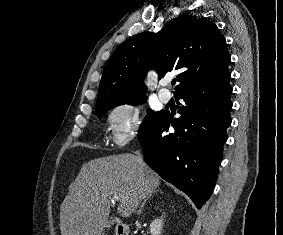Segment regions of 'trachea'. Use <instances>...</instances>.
<instances>
[{
    "label": "trachea",
    "mask_w": 283,
    "mask_h": 235,
    "mask_svg": "<svg viewBox=\"0 0 283 235\" xmlns=\"http://www.w3.org/2000/svg\"><path fill=\"white\" fill-rule=\"evenodd\" d=\"M176 83V80H172V85H174Z\"/></svg>",
    "instance_id": "trachea-1"
}]
</instances>
